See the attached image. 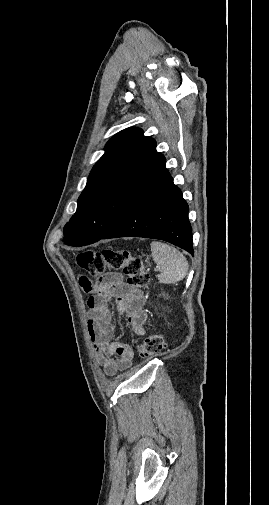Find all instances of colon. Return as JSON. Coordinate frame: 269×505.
I'll use <instances>...</instances> for the list:
<instances>
[{
    "instance_id": "1",
    "label": "colon",
    "mask_w": 269,
    "mask_h": 505,
    "mask_svg": "<svg viewBox=\"0 0 269 505\" xmlns=\"http://www.w3.org/2000/svg\"><path fill=\"white\" fill-rule=\"evenodd\" d=\"M77 264L89 273L91 281H102L107 269L123 271L127 283L132 287H145L150 280L143 261L125 250H87L78 254ZM164 346L161 335L151 334L138 346L137 351L140 357L148 358L160 353Z\"/></svg>"
}]
</instances>
